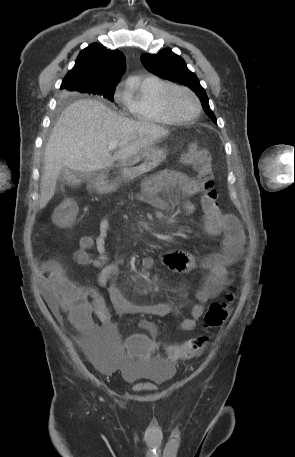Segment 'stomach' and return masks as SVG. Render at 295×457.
<instances>
[{
  "label": "stomach",
  "mask_w": 295,
  "mask_h": 457,
  "mask_svg": "<svg viewBox=\"0 0 295 457\" xmlns=\"http://www.w3.org/2000/svg\"><path fill=\"white\" fill-rule=\"evenodd\" d=\"M166 156L167 149L164 147L143 149L129 159L96 172L93 186L99 193L113 192L123 181L133 180L160 165Z\"/></svg>",
  "instance_id": "0dacf381"
}]
</instances>
